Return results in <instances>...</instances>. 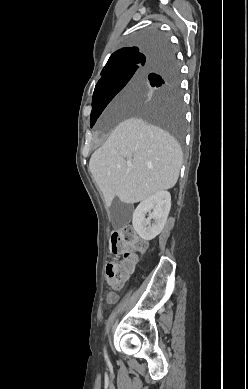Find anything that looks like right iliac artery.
<instances>
[{"label":"right iliac artery","mask_w":248,"mask_h":389,"mask_svg":"<svg viewBox=\"0 0 248 389\" xmlns=\"http://www.w3.org/2000/svg\"><path fill=\"white\" fill-rule=\"evenodd\" d=\"M104 352H105V359L108 361V356L106 354V350H104Z\"/></svg>","instance_id":"82829eb1"}]
</instances>
